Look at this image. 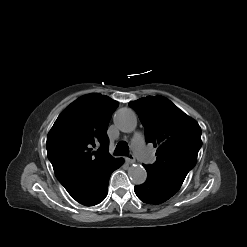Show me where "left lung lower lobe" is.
Returning <instances> with one entry per match:
<instances>
[{
	"instance_id": "0a47b994",
	"label": "left lung lower lobe",
	"mask_w": 247,
	"mask_h": 247,
	"mask_svg": "<svg viewBox=\"0 0 247 247\" xmlns=\"http://www.w3.org/2000/svg\"><path fill=\"white\" fill-rule=\"evenodd\" d=\"M148 176L144 184L135 186L137 197L147 204H160L167 201L175 193L176 189L169 185L168 181L151 167L143 165Z\"/></svg>"
}]
</instances>
